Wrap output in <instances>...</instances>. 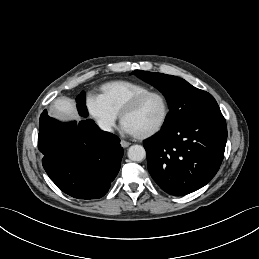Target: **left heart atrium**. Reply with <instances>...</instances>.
Segmentation results:
<instances>
[{"label":"left heart atrium","mask_w":259,"mask_h":259,"mask_svg":"<svg viewBox=\"0 0 259 259\" xmlns=\"http://www.w3.org/2000/svg\"><path fill=\"white\" fill-rule=\"evenodd\" d=\"M122 130L127 134L136 135L135 132L125 123H122Z\"/></svg>","instance_id":"left-heart-atrium-1"}]
</instances>
